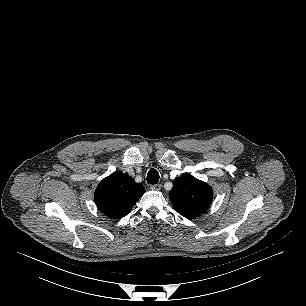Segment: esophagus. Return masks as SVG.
<instances>
[{"mask_svg":"<svg viewBox=\"0 0 306 306\" xmlns=\"http://www.w3.org/2000/svg\"><path fill=\"white\" fill-rule=\"evenodd\" d=\"M150 188H151L152 190L158 191V190L161 189V184H154V185H151Z\"/></svg>","mask_w":306,"mask_h":306,"instance_id":"obj_1","label":"esophagus"}]
</instances>
